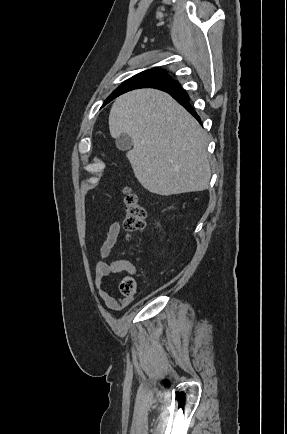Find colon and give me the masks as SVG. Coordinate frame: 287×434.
<instances>
[{"label":"colon","instance_id":"obj_1","mask_svg":"<svg viewBox=\"0 0 287 434\" xmlns=\"http://www.w3.org/2000/svg\"><path fill=\"white\" fill-rule=\"evenodd\" d=\"M124 193V229L127 233L132 234L144 229L146 223V212L141 204L138 194L128 188L125 189ZM119 289L123 296L131 297L136 293L137 283L132 277H126L121 281Z\"/></svg>","mask_w":287,"mask_h":434}]
</instances>
